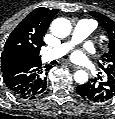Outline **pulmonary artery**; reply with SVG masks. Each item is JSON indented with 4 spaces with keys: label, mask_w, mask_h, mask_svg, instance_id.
<instances>
[{
    "label": "pulmonary artery",
    "mask_w": 115,
    "mask_h": 119,
    "mask_svg": "<svg viewBox=\"0 0 115 119\" xmlns=\"http://www.w3.org/2000/svg\"><path fill=\"white\" fill-rule=\"evenodd\" d=\"M91 27V23H79L73 32L71 40L56 47L50 57H61L66 54L75 44L81 42L89 35Z\"/></svg>",
    "instance_id": "pulmonary-artery-1"
}]
</instances>
